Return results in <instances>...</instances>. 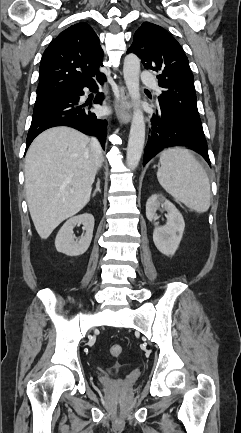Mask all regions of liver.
Returning <instances> with one entry per match:
<instances>
[{
    "label": "liver",
    "mask_w": 241,
    "mask_h": 433,
    "mask_svg": "<svg viewBox=\"0 0 241 433\" xmlns=\"http://www.w3.org/2000/svg\"><path fill=\"white\" fill-rule=\"evenodd\" d=\"M90 139L69 127L41 133L25 157V191L35 229L47 239L89 202L98 169Z\"/></svg>",
    "instance_id": "6515ba94"
}]
</instances>
